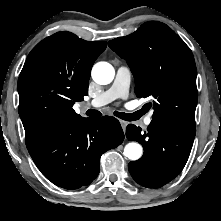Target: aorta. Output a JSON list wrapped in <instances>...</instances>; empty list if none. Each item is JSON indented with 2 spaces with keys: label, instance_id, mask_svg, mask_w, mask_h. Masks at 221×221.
<instances>
[{
  "label": "aorta",
  "instance_id": "1",
  "mask_svg": "<svg viewBox=\"0 0 221 221\" xmlns=\"http://www.w3.org/2000/svg\"><path fill=\"white\" fill-rule=\"evenodd\" d=\"M115 71L111 64L98 62L92 68V78L100 85H106L114 79ZM124 155L130 160H138L142 155V146L138 143H128L124 148Z\"/></svg>",
  "mask_w": 221,
  "mask_h": 221
}]
</instances>
